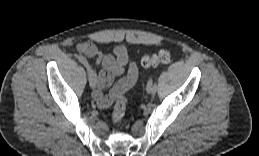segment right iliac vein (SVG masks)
<instances>
[{
	"label": "right iliac vein",
	"instance_id": "1",
	"mask_svg": "<svg viewBox=\"0 0 259 156\" xmlns=\"http://www.w3.org/2000/svg\"><path fill=\"white\" fill-rule=\"evenodd\" d=\"M88 79H89V85L92 88H95L97 85V76H96V73L92 69H90L88 71Z\"/></svg>",
	"mask_w": 259,
	"mask_h": 156
}]
</instances>
